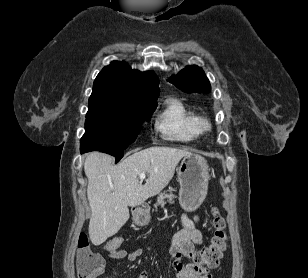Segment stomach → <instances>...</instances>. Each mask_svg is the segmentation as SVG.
<instances>
[{
    "label": "stomach",
    "instance_id": "stomach-1",
    "mask_svg": "<svg viewBox=\"0 0 308 278\" xmlns=\"http://www.w3.org/2000/svg\"><path fill=\"white\" fill-rule=\"evenodd\" d=\"M207 161L196 154L184 156L177 168V180L180 184L179 204L185 211H195L204 201L209 181ZM149 209H140L134 215L139 225L150 221Z\"/></svg>",
    "mask_w": 308,
    "mask_h": 278
}]
</instances>
